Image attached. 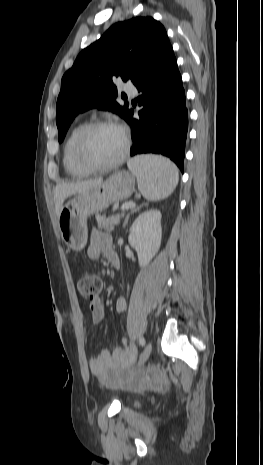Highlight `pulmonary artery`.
Returning <instances> with one entry per match:
<instances>
[{
  "label": "pulmonary artery",
  "mask_w": 263,
  "mask_h": 465,
  "mask_svg": "<svg viewBox=\"0 0 263 465\" xmlns=\"http://www.w3.org/2000/svg\"><path fill=\"white\" fill-rule=\"evenodd\" d=\"M124 91L130 94L131 96H135L137 94L136 88L132 85L125 86Z\"/></svg>",
  "instance_id": "e3ab8cb5"
}]
</instances>
